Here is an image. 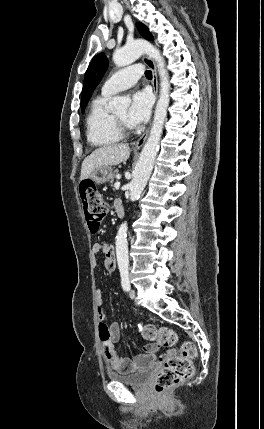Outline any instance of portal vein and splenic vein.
Segmentation results:
<instances>
[{"label": "portal vein and splenic vein", "mask_w": 264, "mask_h": 429, "mask_svg": "<svg viewBox=\"0 0 264 429\" xmlns=\"http://www.w3.org/2000/svg\"><path fill=\"white\" fill-rule=\"evenodd\" d=\"M114 187H115L116 189H119V188H120V182H116V183L114 184Z\"/></svg>", "instance_id": "obj_1"}]
</instances>
